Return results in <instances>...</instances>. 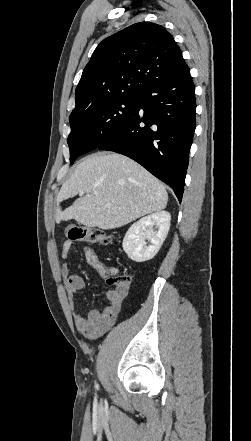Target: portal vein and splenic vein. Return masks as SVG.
I'll return each mask as SVG.
<instances>
[{"label":"portal vein and splenic vein","instance_id":"portal-vein-and-splenic-vein-1","mask_svg":"<svg viewBox=\"0 0 251 441\" xmlns=\"http://www.w3.org/2000/svg\"><path fill=\"white\" fill-rule=\"evenodd\" d=\"M83 194H84L83 192H80V193H79L80 196H82ZM94 194H97V193L95 192Z\"/></svg>","mask_w":251,"mask_h":441}]
</instances>
